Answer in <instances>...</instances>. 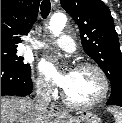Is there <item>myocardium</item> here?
Masks as SVG:
<instances>
[{"mask_svg":"<svg viewBox=\"0 0 122 123\" xmlns=\"http://www.w3.org/2000/svg\"><path fill=\"white\" fill-rule=\"evenodd\" d=\"M84 68L93 69L98 73V75L100 76V78L102 80V85H103L102 92L97 98H95L93 100H90L87 102H77V101L70 99L67 96L66 92L63 90L62 99L69 106L77 107V108L93 107V106H96V105L100 104L101 102H103L109 94L110 82H109V78H108L107 74L105 73V71L100 66H98L97 64L92 63V62H81V63H78L74 67L75 70L84 69Z\"/></svg>","mask_w":122,"mask_h":123,"instance_id":"myocardium-1","label":"myocardium"}]
</instances>
